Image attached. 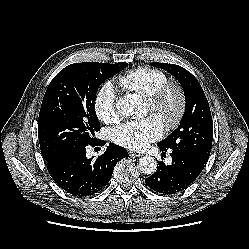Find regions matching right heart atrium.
<instances>
[{"label":"right heart atrium","mask_w":249,"mask_h":249,"mask_svg":"<svg viewBox=\"0 0 249 249\" xmlns=\"http://www.w3.org/2000/svg\"><path fill=\"white\" fill-rule=\"evenodd\" d=\"M94 111L98 119L106 124H113L118 121L117 94L112 83H104L97 91Z\"/></svg>","instance_id":"d8ad5b80"}]
</instances>
